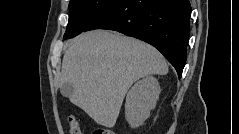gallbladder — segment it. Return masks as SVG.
Segmentation results:
<instances>
[{
	"label": "gallbladder",
	"mask_w": 239,
	"mask_h": 134,
	"mask_svg": "<svg viewBox=\"0 0 239 134\" xmlns=\"http://www.w3.org/2000/svg\"><path fill=\"white\" fill-rule=\"evenodd\" d=\"M60 92L63 96L69 97L73 92V86L70 83H63L60 87Z\"/></svg>",
	"instance_id": "bac80fb5"
}]
</instances>
